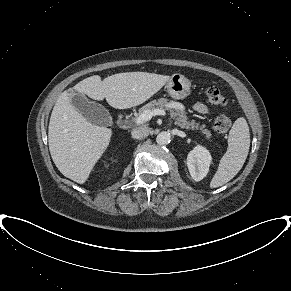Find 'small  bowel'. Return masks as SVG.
Instances as JSON below:
<instances>
[{
  "instance_id": "obj_1",
  "label": "small bowel",
  "mask_w": 291,
  "mask_h": 291,
  "mask_svg": "<svg viewBox=\"0 0 291 291\" xmlns=\"http://www.w3.org/2000/svg\"><path fill=\"white\" fill-rule=\"evenodd\" d=\"M194 109L200 114H208L209 113L208 107L202 102H197L194 105Z\"/></svg>"
}]
</instances>
